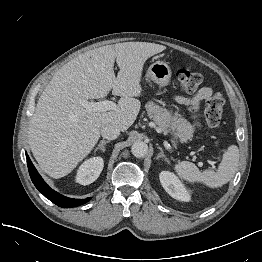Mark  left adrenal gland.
I'll use <instances>...</instances> for the list:
<instances>
[{"mask_svg": "<svg viewBox=\"0 0 262 262\" xmlns=\"http://www.w3.org/2000/svg\"><path fill=\"white\" fill-rule=\"evenodd\" d=\"M160 152L159 154L157 155V159L159 158H164L165 161L169 162L168 158L165 156L164 152H163V149L161 147H158Z\"/></svg>", "mask_w": 262, "mask_h": 262, "instance_id": "obj_1", "label": "left adrenal gland"}]
</instances>
